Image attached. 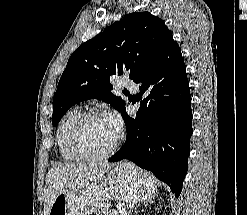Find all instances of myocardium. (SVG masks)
<instances>
[{
	"label": "myocardium",
	"mask_w": 247,
	"mask_h": 215,
	"mask_svg": "<svg viewBox=\"0 0 247 215\" xmlns=\"http://www.w3.org/2000/svg\"><path fill=\"white\" fill-rule=\"evenodd\" d=\"M101 118H103V115L99 112L84 113L78 118V120L75 122V124L72 127L71 130L72 148L76 152V154H78L84 160H89V161L105 160L109 158L111 155H113L120 145L121 136L118 135L112 146L104 152L94 153L86 147L83 139V131L85 125L90 121L98 120Z\"/></svg>",
	"instance_id": "1"
}]
</instances>
